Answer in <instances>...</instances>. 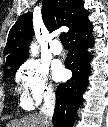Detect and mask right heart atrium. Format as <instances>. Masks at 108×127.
I'll return each mask as SVG.
<instances>
[{
	"instance_id": "d8ad5b80",
	"label": "right heart atrium",
	"mask_w": 108,
	"mask_h": 127,
	"mask_svg": "<svg viewBox=\"0 0 108 127\" xmlns=\"http://www.w3.org/2000/svg\"><path fill=\"white\" fill-rule=\"evenodd\" d=\"M16 80L29 105H40L44 101L51 100L55 95V88L47 67L36 61H26L17 71Z\"/></svg>"
}]
</instances>
